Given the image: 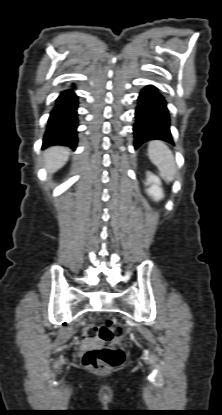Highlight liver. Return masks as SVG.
<instances>
[{
	"mask_svg": "<svg viewBox=\"0 0 222 415\" xmlns=\"http://www.w3.org/2000/svg\"><path fill=\"white\" fill-rule=\"evenodd\" d=\"M70 150L66 147L55 146L44 152L45 167L50 173L56 172L68 160Z\"/></svg>",
	"mask_w": 222,
	"mask_h": 415,
	"instance_id": "1",
	"label": "liver"
}]
</instances>
